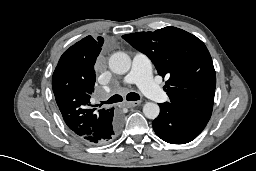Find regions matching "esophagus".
Here are the masks:
<instances>
[{
    "instance_id": "34e87169",
    "label": "esophagus",
    "mask_w": 256,
    "mask_h": 171,
    "mask_svg": "<svg viewBox=\"0 0 256 171\" xmlns=\"http://www.w3.org/2000/svg\"><path fill=\"white\" fill-rule=\"evenodd\" d=\"M140 103H141V101H132V102H125V105L128 108H133V107L138 106Z\"/></svg>"
}]
</instances>
